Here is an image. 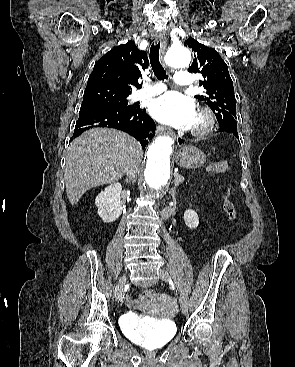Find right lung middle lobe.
Instances as JSON below:
<instances>
[{"instance_id": "1", "label": "right lung middle lobe", "mask_w": 295, "mask_h": 367, "mask_svg": "<svg viewBox=\"0 0 295 367\" xmlns=\"http://www.w3.org/2000/svg\"><path fill=\"white\" fill-rule=\"evenodd\" d=\"M128 95L118 94L102 87L85 89L81 108L85 107H114L121 109L133 108L128 104Z\"/></svg>"}]
</instances>
